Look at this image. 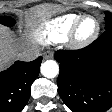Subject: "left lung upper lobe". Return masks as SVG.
<instances>
[{
    "mask_svg": "<svg viewBox=\"0 0 112 112\" xmlns=\"http://www.w3.org/2000/svg\"><path fill=\"white\" fill-rule=\"evenodd\" d=\"M112 28V13L106 11L105 12V30Z\"/></svg>",
    "mask_w": 112,
    "mask_h": 112,
    "instance_id": "1",
    "label": "left lung upper lobe"
}]
</instances>
